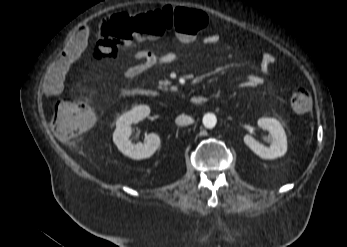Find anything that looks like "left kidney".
<instances>
[{"label": "left kidney", "instance_id": "5707ae66", "mask_svg": "<svg viewBox=\"0 0 347 247\" xmlns=\"http://www.w3.org/2000/svg\"><path fill=\"white\" fill-rule=\"evenodd\" d=\"M258 126L271 134L273 141L270 147L264 146L248 134L244 136V143L262 159H275L285 155L287 136L280 122L274 118H261Z\"/></svg>", "mask_w": 347, "mask_h": 247}]
</instances>
